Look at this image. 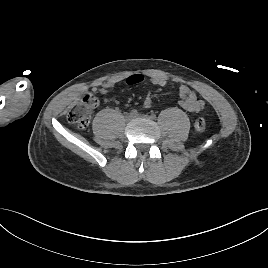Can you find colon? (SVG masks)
Segmentation results:
<instances>
[{
  "label": "colon",
  "instance_id": "colon-1",
  "mask_svg": "<svg viewBox=\"0 0 268 268\" xmlns=\"http://www.w3.org/2000/svg\"><path fill=\"white\" fill-rule=\"evenodd\" d=\"M97 105L96 95L93 92H87L77 104L67 110V120L78 128L85 129L89 125L91 115ZM193 126L196 132L202 133L206 129V122L204 119L198 118Z\"/></svg>",
  "mask_w": 268,
  "mask_h": 268
}]
</instances>
